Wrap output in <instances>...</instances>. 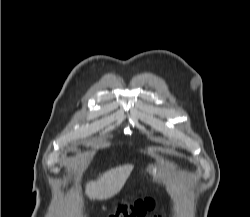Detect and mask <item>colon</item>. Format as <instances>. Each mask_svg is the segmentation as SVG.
I'll use <instances>...</instances> for the list:
<instances>
[{"label": "colon", "mask_w": 250, "mask_h": 217, "mask_svg": "<svg viewBox=\"0 0 250 217\" xmlns=\"http://www.w3.org/2000/svg\"><path fill=\"white\" fill-rule=\"evenodd\" d=\"M153 207L152 199H134L119 203L109 217H143Z\"/></svg>", "instance_id": "obj_1"}]
</instances>
